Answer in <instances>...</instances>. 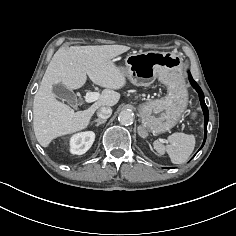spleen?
Wrapping results in <instances>:
<instances>
[{
	"instance_id": "spleen-1",
	"label": "spleen",
	"mask_w": 236,
	"mask_h": 236,
	"mask_svg": "<svg viewBox=\"0 0 236 236\" xmlns=\"http://www.w3.org/2000/svg\"><path fill=\"white\" fill-rule=\"evenodd\" d=\"M168 145H163L159 140L154 141V149L161 155L168 153L173 164L185 163L195 148L194 135L173 133L168 137Z\"/></svg>"
}]
</instances>
